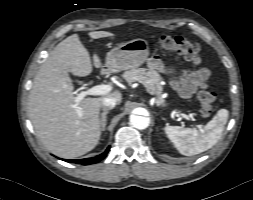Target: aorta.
<instances>
[{
  "instance_id": "1",
  "label": "aorta",
  "mask_w": 253,
  "mask_h": 200,
  "mask_svg": "<svg viewBox=\"0 0 253 200\" xmlns=\"http://www.w3.org/2000/svg\"><path fill=\"white\" fill-rule=\"evenodd\" d=\"M130 123L133 127L142 130L149 126L150 120L148 117L132 114L130 116Z\"/></svg>"
}]
</instances>
